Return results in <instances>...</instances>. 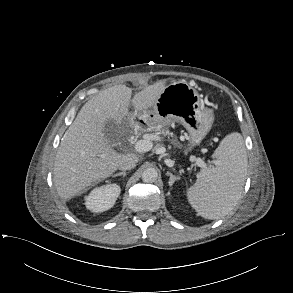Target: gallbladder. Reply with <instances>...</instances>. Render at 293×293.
Instances as JSON below:
<instances>
[{
    "label": "gallbladder",
    "mask_w": 293,
    "mask_h": 293,
    "mask_svg": "<svg viewBox=\"0 0 293 293\" xmlns=\"http://www.w3.org/2000/svg\"><path fill=\"white\" fill-rule=\"evenodd\" d=\"M105 135L111 143L118 141L119 128L113 120H108L105 123Z\"/></svg>",
    "instance_id": "obj_1"
}]
</instances>
